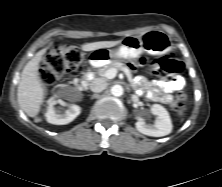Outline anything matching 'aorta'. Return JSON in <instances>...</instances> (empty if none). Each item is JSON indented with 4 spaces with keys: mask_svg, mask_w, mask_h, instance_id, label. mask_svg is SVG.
<instances>
[{
    "mask_svg": "<svg viewBox=\"0 0 222 187\" xmlns=\"http://www.w3.org/2000/svg\"><path fill=\"white\" fill-rule=\"evenodd\" d=\"M123 87L121 85H114L111 87V94L113 96L119 97L123 95Z\"/></svg>",
    "mask_w": 222,
    "mask_h": 187,
    "instance_id": "aorta-1",
    "label": "aorta"
}]
</instances>
